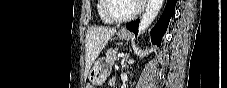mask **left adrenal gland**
I'll use <instances>...</instances> for the list:
<instances>
[{"label":"left adrenal gland","instance_id":"a2214340","mask_svg":"<svg viewBox=\"0 0 227 88\" xmlns=\"http://www.w3.org/2000/svg\"><path fill=\"white\" fill-rule=\"evenodd\" d=\"M128 57H129V55H127V56L123 59V61H122V64H123L124 67L127 66V59H128Z\"/></svg>","mask_w":227,"mask_h":88}]
</instances>
